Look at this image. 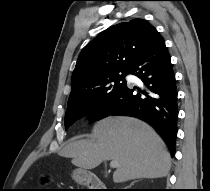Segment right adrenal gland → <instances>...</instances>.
Masks as SVG:
<instances>
[{"mask_svg": "<svg viewBox=\"0 0 210 191\" xmlns=\"http://www.w3.org/2000/svg\"><path fill=\"white\" fill-rule=\"evenodd\" d=\"M135 182H136V181L132 182L131 185H133ZM131 185H130V186H131Z\"/></svg>", "mask_w": 210, "mask_h": 191, "instance_id": "2a0ac1e0", "label": "right adrenal gland"}]
</instances>
